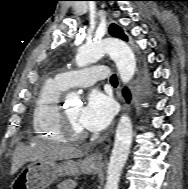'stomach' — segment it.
<instances>
[{"instance_id":"obj_1","label":"stomach","mask_w":188,"mask_h":189,"mask_svg":"<svg viewBox=\"0 0 188 189\" xmlns=\"http://www.w3.org/2000/svg\"><path fill=\"white\" fill-rule=\"evenodd\" d=\"M99 164L91 158L74 161L45 162L36 160L23 168L12 183V189H46L59 176L95 174Z\"/></svg>"}]
</instances>
